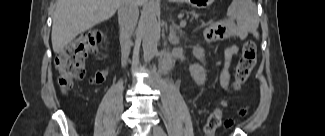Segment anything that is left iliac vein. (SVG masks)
Returning <instances> with one entry per match:
<instances>
[{
  "instance_id": "1",
  "label": "left iliac vein",
  "mask_w": 325,
  "mask_h": 136,
  "mask_svg": "<svg viewBox=\"0 0 325 136\" xmlns=\"http://www.w3.org/2000/svg\"><path fill=\"white\" fill-rule=\"evenodd\" d=\"M161 127H159V126H154L153 128H152V135L153 136H160L159 135V129H160Z\"/></svg>"
}]
</instances>
